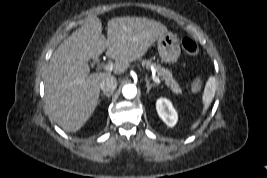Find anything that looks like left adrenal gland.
Returning <instances> with one entry per match:
<instances>
[{"label": "left adrenal gland", "instance_id": "1", "mask_svg": "<svg viewBox=\"0 0 267 178\" xmlns=\"http://www.w3.org/2000/svg\"><path fill=\"white\" fill-rule=\"evenodd\" d=\"M145 81H146L147 93H149L151 88L154 87V84H150L148 79H146Z\"/></svg>", "mask_w": 267, "mask_h": 178}]
</instances>
